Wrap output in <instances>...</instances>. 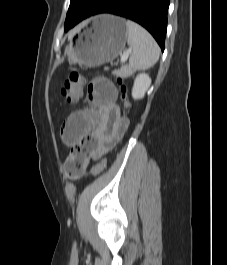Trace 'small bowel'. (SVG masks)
<instances>
[{
  "instance_id": "c3829d8e",
  "label": "small bowel",
  "mask_w": 227,
  "mask_h": 265,
  "mask_svg": "<svg viewBox=\"0 0 227 265\" xmlns=\"http://www.w3.org/2000/svg\"><path fill=\"white\" fill-rule=\"evenodd\" d=\"M117 90L105 77L93 79L87 89L90 107L71 113L61 128V139L71 149L85 156L80 176L92 159L111 150L122 138L128 120L121 116L116 103Z\"/></svg>"
}]
</instances>
